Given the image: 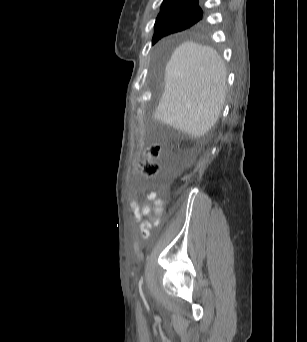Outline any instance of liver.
I'll use <instances>...</instances> for the list:
<instances>
[{"label": "liver", "instance_id": "liver-1", "mask_svg": "<svg viewBox=\"0 0 307 342\" xmlns=\"http://www.w3.org/2000/svg\"><path fill=\"white\" fill-rule=\"evenodd\" d=\"M226 90V68L218 52L183 42L166 64L164 92L154 118L191 138H201L219 120Z\"/></svg>", "mask_w": 307, "mask_h": 342}]
</instances>
